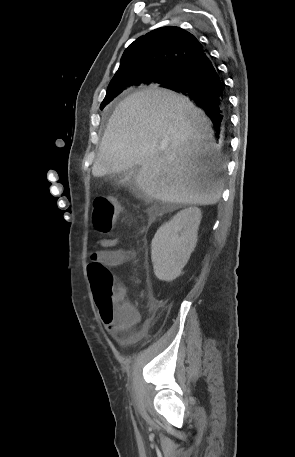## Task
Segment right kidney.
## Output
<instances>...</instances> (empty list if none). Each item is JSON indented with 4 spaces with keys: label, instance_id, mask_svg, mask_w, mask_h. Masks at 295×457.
<instances>
[{
    "label": "right kidney",
    "instance_id": "right-kidney-1",
    "mask_svg": "<svg viewBox=\"0 0 295 457\" xmlns=\"http://www.w3.org/2000/svg\"><path fill=\"white\" fill-rule=\"evenodd\" d=\"M200 221V209L189 207L157 230L151 243V258L158 279L172 281L180 275L196 246Z\"/></svg>",
    "mask_w": 295,
    "mask_h": 457
}]
</instances>
